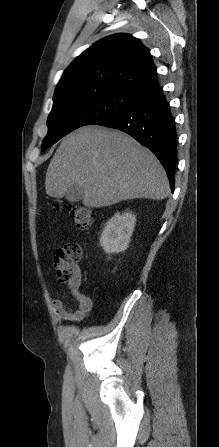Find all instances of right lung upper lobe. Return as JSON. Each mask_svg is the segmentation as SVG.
Here are the masks:
<instances>
[{"label": "right lung upper lobe", "instance_id": "right-lung-upper-lobe-1", "mask_svg": "<svg viewBox=\"0 0 219 447\" xmlns=\"http://www.w3.org/2000/svg\"><path fill=\"white\" fill-rule=\"evenodd\" d=\"M149 49L128 34L106 37L85 50L65 70L57 90L76 85H107L139 100L159 91Z\"/></svg>", "mask_w": 219, "mask_h": 447}]
</instances>
